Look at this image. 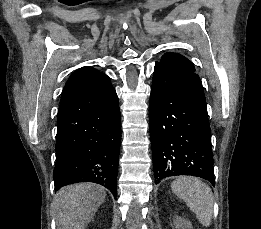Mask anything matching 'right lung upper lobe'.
Wrapping results in <instances>:
<instances>
[{
  "mask_svg": "<svg viewBox=\"0 0 261 229\" xmlns=\"http://www.w3.org/2000/svg\"><path fill=\"white\" fill-rule=\"evenodd\" d=\"M106 76L103 73L90 67H82L75 71L66 82L62 92L61 104L64 103L71 95L84 89L99 78Z\"/></svg>",
  "mask_w": 261,
  "mask_h": 229,
  "instance_id": "obj_1",
  "label": "right lung upper lobe"
}]
</instances>
